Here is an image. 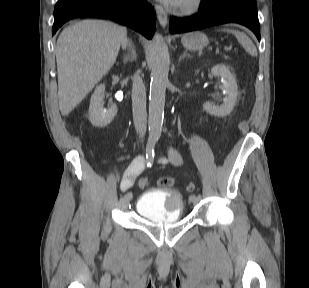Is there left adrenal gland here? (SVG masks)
I'll list each match as a JSON object with an SVG mask.
<instances>
[{
  "label": "left adrenal gland",
  "mask_w": 309,
  "mask_h": 288,
  "mask_svg": "<svg viewBox=\"0 0 309 288\" xmlns=\"http://www.w3.org/2000/svg\"><path fill=\"white\" fill-rule=\"evenodd\" d=\"M185 57H191L190 54L187 53V51H184L183 54L179 57V61L184 59Z\"/></svg>",
  "instance_id": "1"
}]
</instances>
